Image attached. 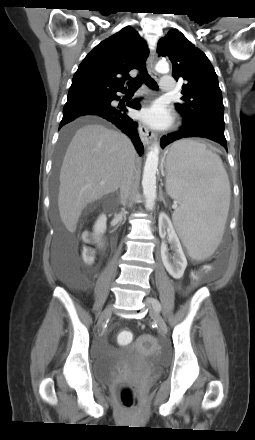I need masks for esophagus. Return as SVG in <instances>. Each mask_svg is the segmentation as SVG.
<instances>
[{
	"label": "esophagus",
	"mask_w": 255,
	"mask_h": 440,
	"mask_svg": "<svg viewBox=\"0 0 255 440\" xmlns=\"http://www.w3.org/2000/svg\"><path fill=\"white\" fill-rule=\"evenodd\" d=\"M155 59H156V50H152L147 59V68L149 73L153 77H156L157 75L154 69ZM138 130L141 141L144 144V146H148L152 141L156 139V134L141 123L139 124Z\"/></svg>",
	"instance_id": "1"
}]
</instances>
